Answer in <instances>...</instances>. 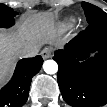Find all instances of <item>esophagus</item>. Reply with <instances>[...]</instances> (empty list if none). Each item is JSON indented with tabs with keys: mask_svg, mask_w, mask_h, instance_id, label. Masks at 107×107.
I'll list each match as a JSON object with an SVG mask.
<instances>
[{
	"mask_svg": "<svg viewBox=\"0 0 107 107\" xmlns=\"http://www.w3.org/2000/svg\"><path fill=\"white\" fill-rule=\"evenodd\" d=\"M41 56L43 57V59H48V58L52 57V49L44 48L41 51Z\"/></svg>",
	"mask_w": 107,
	"mask_h": 107,
	"instance_id": "esophagus-1",
	"label": "esophagus"
}]
</instances>
